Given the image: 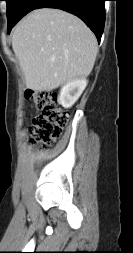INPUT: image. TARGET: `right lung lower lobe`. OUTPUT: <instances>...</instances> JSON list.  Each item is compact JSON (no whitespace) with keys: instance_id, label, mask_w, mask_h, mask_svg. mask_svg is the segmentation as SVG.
I'll use <instances>...</instances> for the list:
<instances>
[{"instance_id":"obj_1","label":"right lung lower lobe","mask_w":133,"mask_h":253,"mask_svg":"<svg viewBox=\"0 0 133 253\" xmlns=\"http://www.w3.org/2000/svg\"><path fill=\"white\" fill-rule=\"evenodd\" d=\"M106 0H25L18 21L27 13L39 8H57L79 17L95 33L100 42L105 24Z\"/></svg>"}]
</instances>
